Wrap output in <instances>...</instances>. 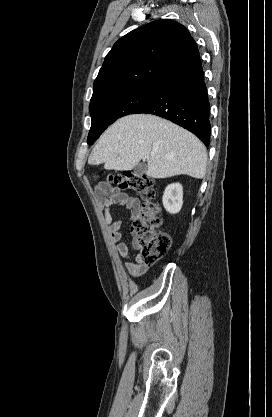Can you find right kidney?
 Segmentation results:
<instances>
[{
  "mask_svg": "<svg viewBox=\"0 0 272 417\" xmlns=\"http://www.w3.org/2000/svg\"><path fill=\"white\" fill-rule=\"evenodd\" d=\"M163 206L171 214L178 213L183 205V187L179 183H173L166 187L163 194Z\"/></svg>",
  "mask_w": 272,
  "mask_h": 417,
  "instance_id": "right-kidney-1",
  "label": "right kidney"
}]
</instances>
